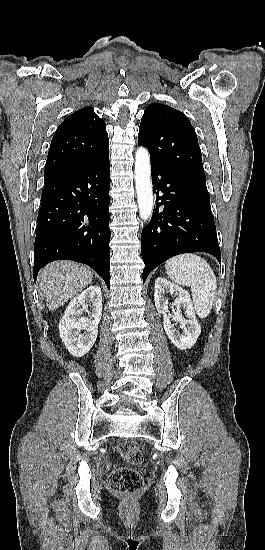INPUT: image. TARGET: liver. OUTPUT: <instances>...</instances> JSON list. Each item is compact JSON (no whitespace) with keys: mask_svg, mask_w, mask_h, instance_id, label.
I'll list each match as a JSON object with an SVG mask.
<instances>
[{"mask_svg":"<svg viewBox=\"0 0 265 550\" xmlns=\"http://www.w3.org/2000/svg\"><path fill=\"white\" fill-rule=\"evenodd\" d=\"M92 270L72 261H55L45 266L38 276L39 287L50 311L73 298L89 284Z\"/></svg>","mask_w":265,"mask_h":550,"instance_id":"liver-1","label":"liver"}]
</instances>
